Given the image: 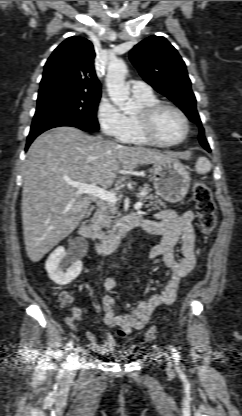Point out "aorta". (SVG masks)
<instances>
[{"instance_id": "obj_1", "label": "aorta", "mask_w": 242, "mask_h": 416, "mask_svg": "<svg viewBox=\"0 0 242 416\" xmlns=\"http://www.w3.org/2000/svg\"><path fill=\"white\" fill-rule=\"evenodd\" d=\"M127 72V66L123 60L111 61L108 65L106 85L110 100L126 114H132L137 107L129 97V87L125 85Z\"/></svg>"}]
</instances>
